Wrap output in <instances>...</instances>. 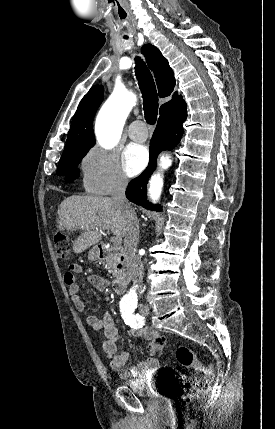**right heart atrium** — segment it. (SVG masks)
I'll return each instance as SVG.
<instances>
[{
	"label": "right heart atrium",
	"mask_w": 275,
	"mask_h": 429,
	"mask_svg": "<svg viewBox=\"0 0 275 429\" xmlns=\"http://www.w3.org/2000/svg\"><path fill=\"white\" fill-rule=\"evenodd\" d=\"M80 170L84 189L95 195H108L128 185L117 154L99 146L84 154Z\"/></svg>",
	"instance_id": "1"
}]
</instances>
